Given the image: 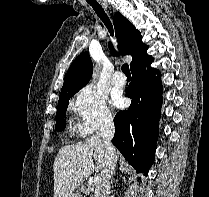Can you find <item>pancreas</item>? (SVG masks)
I'll use <instances>...</instances> for the list:
<instances>
[{"mask_svg": "<svg viewBox=\"0 0 209 197\" xmlns=\"http://www.w3.org/2000/svg\"><path fill=\"white\" fill-rule=\"evenodd\" d=\"M100 190H101V186L100 185H96L94 183H90L89 186H87L85 193L86 194H90L91 193V197H100Z\"/></svg>", "mask_w": 209, "mask_h": 197, "instance_id": "pancreas-1", "label": "pancreas"}]
</instances>
